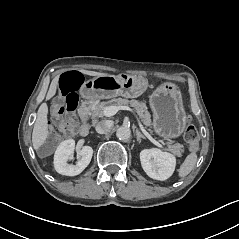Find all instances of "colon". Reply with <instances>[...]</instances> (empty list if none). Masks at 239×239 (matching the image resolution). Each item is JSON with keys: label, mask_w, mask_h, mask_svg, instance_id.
<instances>
[{"label": "colon", "mask_w": 239, "mask_h": 239, "mask_svg": "<svg viewBox=\"0 0 239 239\" xmlns=\"http://www.w3.org/2000/svg\"><path fill=\"white\" fill-rule=\"evenodd\" d=\"M83 82V78L76 72L64 74L59 80V95L62 102H57L53 108L54 121L51 126V132L59 137L72 136L77 130V109L79 105V97L77 90ZM198 131L196 127L190 123L184 131V139L188 144L190 151H195L198 147Z\"/></svg>", "instance_id": "5ec220e1"}]
</instances>
